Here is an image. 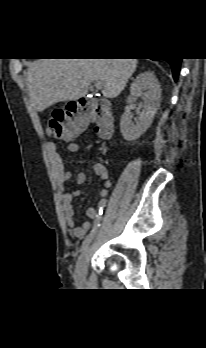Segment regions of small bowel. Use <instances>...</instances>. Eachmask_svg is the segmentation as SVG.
Returning a JSON list of instances; mask_svg holds the SVG:
<instances>
[{
    "label": "small bowel",
    "instance_id": "obj_1",
    "mask_svg": "<svg viewBox=\"0 0 206 348\" xmlns=\"http://www.w3.org/2000/svg\"><path fill=\"white\" fill-rule=\"evenodd\" d=\"M67 148L70 152L75 153L80 150V145L78 143L73 142L70 143ZM48 157L52 165L55 181L62 192L61 200L63 206L64 219L66 221L67 227L74 236L81 237L90 228V223L83 222L81 225H77L75 223V210L73 201L75 197H77L80 194V191H65L66 182L71 178L72 172L65 170L62 157L54 144H51L48 147ZM93 168L96 174L102 180L103 188L100 191L101 199L98 203V206L88 208L86 214L90 219L97 221L101 217L100 213H102L103 209L108 204V189L111 187V181L109 178L108 169L104 164L96 163ZM76 181L78 184H84L86 182V174L78 173L76 176Z\"/></svg>",
    "mask_w": 206,
    "mask_h": 348
}]
</instances>
